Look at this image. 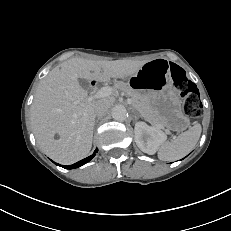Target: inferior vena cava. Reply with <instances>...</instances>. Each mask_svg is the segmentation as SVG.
Segmentation results:
<instances>
[{"label": "inferior vena cava", "mask_w": 231, "mask_h": 231, "mask_svg": "<svg viewBox=\"0 0 231 231\" xmlns=\"http://www.w3.org/2000/svg\"><path fill=\"white\" fill-rule=\"evenodd\" d=\"M109 106L103 102H98L95 106V115L98 117L105 116L108 112Z\"/></svg>", "instance_id": "obj_1"}]
</instances>
